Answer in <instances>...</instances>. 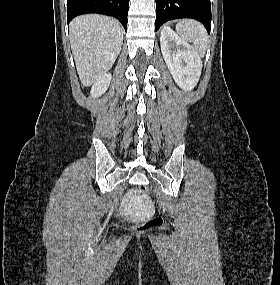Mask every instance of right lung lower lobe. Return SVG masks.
<instances>
[{
  "mask_svg": "<svg viewBox=\"0 0 280 285\" xmlns=\"http://www.w3.org/2000/svg\"><path fill=\"white\" fill-rule=\"evenodd\" d=\"M129 0H67V23L86 13H99L117 18L127 30Z\"/></svg>",
  "mask_w": 280,
  "mask_h": 285,
  "instance_id": "obj_1",
  "label": "right lung lower lobe"
}]
</instances>
